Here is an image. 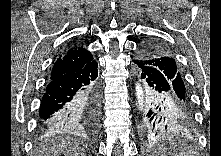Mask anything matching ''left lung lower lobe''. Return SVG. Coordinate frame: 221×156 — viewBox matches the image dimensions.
<instances>
[{"label": "left lung lower lobe", "mask_w": 221, "mask_h": 156, "mask_svg": "<svg viewBox=\"0 0 221 156\" xmlns=\"http://www.w3.org/2000/svg\"><path fill=\"white\" fill-rule=\"evenodd\" d=\"M139 67L142 139L153 142L191 128L192 107L178 96L174 75L166 70L133 60Z\"/></svg>", "instance_id": "0a47b994"}]
</instances>
